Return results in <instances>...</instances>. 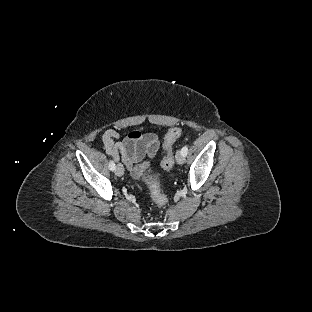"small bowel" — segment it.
<instances>
[{
  "instance_id": "obj_1",
  "label": "small bowel",
  "mask_w": 312,
  "mask_h": 312,
  "mask_svg": "<svg viewBox=\"0 0 312 312\" xmlns=\"http://www.w3.org/2000/svg\"><path fill=\"white\" fill-rule=\"evenodd\" d=\"M120 133L115 129H108L102 135V144L106 153L114 160H122L130 174L138 178L152 160L158 149L159 139L154 133L131 131L121 142Z\"/></svg>"
}]
</instances>
